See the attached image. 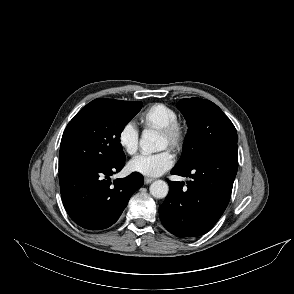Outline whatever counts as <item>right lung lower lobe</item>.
<instances>
[{"label": "right lung lower lobe", "instance_id": "right-lung-lower-lobe-1", "mask_svg": "<svg viewBox=\"0 0 294 294\" xmlns=\"http://www.w3.org/2000/svg\"><path fill=\"white\" fill-rule=\"evenodd\" d=\"M124 161L59 171L63 205L76 224L101 230L118 220L131 195L144 182L140 173L133 172L111 183L110 176L121 171Z\"/></svg>", "mask_w": 294, "mask_h": 294}]
</instances>
